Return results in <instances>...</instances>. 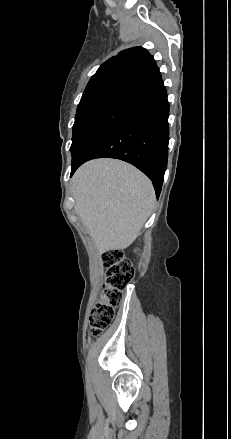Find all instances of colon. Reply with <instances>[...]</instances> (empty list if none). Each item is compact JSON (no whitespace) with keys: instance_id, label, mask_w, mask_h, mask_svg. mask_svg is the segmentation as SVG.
Segmentation results:
<instances>
[{"instance_id":"colon-1","label":"colon","mask_w":231,"mask_h":439,"mask_svg":"<svg viewBox=\"0 0 231 439\" xmlns=\"http://www.w3.org/2000/svg\"><path fill=\"white\" fill-rule=\"evenodd\" d=\"M103 263L108 276L105 288L90 315V333L99 337L113 320L123 292L134 277V268L120 249L107 250Z\"/></svg>"}]
</instances>
